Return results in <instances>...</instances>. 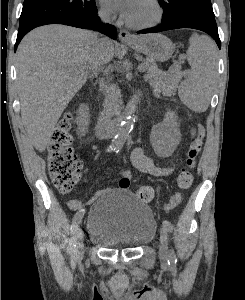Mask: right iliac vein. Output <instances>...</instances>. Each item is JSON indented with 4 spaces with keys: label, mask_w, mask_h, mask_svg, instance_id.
Segmentation results:
<instances>
[{
    "label": "right iliac vein",
    "mask_w": 245,
    "mask_h": 300,
    "mask_svg": "<svg viewBox=\"0 0 245 300\" xmlns=\"http://www.w3.org/2000/svg\"><path fill=\"white\" fill-rule=\"evenodd\" d=\"M83 237H84L83 231L81 229H78L76 236H75L76 256L78 258L82 257V255H83V247H84Z\"/></svg>",
    "instance_id": "obj_1"
}]
</instances>
